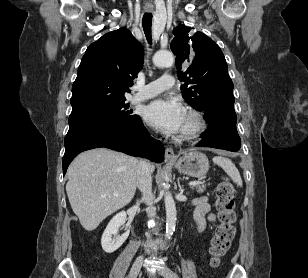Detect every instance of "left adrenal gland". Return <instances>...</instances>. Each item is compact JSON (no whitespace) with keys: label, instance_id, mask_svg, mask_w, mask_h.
Instances as JSON below:
<instances>
[{"label":"left adrenal gland","instance_id":"a2214340","mask_svg":"<svg viewBox=\"0 0 308 278\" xmlns=\"http://www.w3.org/2000/svg\"><path fill=\"white\" fill-rule=\"evenodd\" d=\"M179 189H180L181 193H183L184 189H183V186H181L180 184H179Z\"/></svg>","mask_w":308,"mask_h":278}]
</instances>
